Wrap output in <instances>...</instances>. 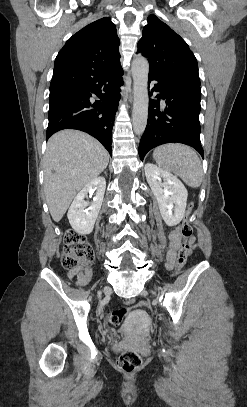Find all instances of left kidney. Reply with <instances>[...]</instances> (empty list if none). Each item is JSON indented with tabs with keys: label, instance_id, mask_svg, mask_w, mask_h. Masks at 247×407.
Returning a JSON list of instances; mask_svg holds the SVG:
<instances>
[{
	"label": "left kidney",
	"instance_id": "obj_1",
	"mask_svg": "<svg viewBox=\"0 0 247 407\" xmlns=\"http://www.w3.org/2000/svg\"><path fill=\"white\" fill-rule=\"evenodd\" d=\"M144 169L164 222L168 226L179 224L186 209L188 192L185 186L176 176L153 163H147Z\"/></svg>",
	"mask_w": 247,
	"mask_h": 407
}]
</instances>
